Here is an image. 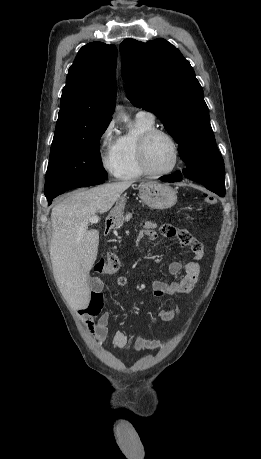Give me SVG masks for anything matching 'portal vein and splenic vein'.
<instances>
[{
	"instance_id": "18ae733b",
	"label": "portal vein and splenic vein",
	"mask_w": 261,
	"mask_h": 459,
	"mask_svg": "<svg viewBox=\"0 0 261 459\" xmlns=\"http://www.w3.org/2000/svg\"><path fill=\"white\" fill-rule=\"evenodd\" d=\"M89 222H91L93 224H97L99 222V217L98 216H91L89 218Z\"/></svg>"
}]
</instances>
